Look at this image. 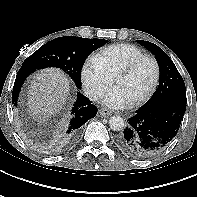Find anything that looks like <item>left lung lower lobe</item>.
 I'll use <instances>...</instances> for the list:
<instances>
[{
  "instance_id": "left-lung-lower-lobe-1",
  "label": "left lung lower lobe",
  "mask_w": 197,
  "mask_h": 197,
  "mask_svg": "<svg viewBox=\"0 0 197 197\" xmlns=\"http://www.w3.org/2000/svg\"><path fill=\"white\" fill-rule=\"evenodd\" d=\"M186 91H177L139 108L118 135L119 147L135 158H148L168 146L186 111Z\"/></svg>"
}]
</instances>
